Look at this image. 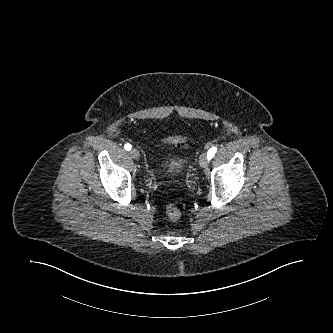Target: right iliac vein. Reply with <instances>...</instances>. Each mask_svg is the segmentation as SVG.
<instances>
[{"label":"right iliac vein","instance_id":"1","mask_svg":"<svg viewBox=\"0 0 333 333\" xmlns=\"http://www.w3.org/2000/svg\"><path fill=\"white\" fill-rule=\"evenodd\" d=\"M130 155L133 159L137 160L139 159L140 157V153L137 149L133 148L131 151H130Z\"/></svg>","mask_w":333,"mask_h":333}]
</instances>
